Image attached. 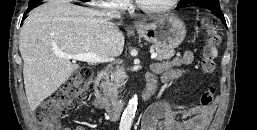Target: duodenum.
I'll list each match as a JSON object with an SVG mask.
<instances>
[{"instance_id":"410a0bca","label":"duodenum","mask_w":257,"mask_h":130,"mask_svg":"<svg viewBox=\"0 0 257 130\" xmlns=\"http://www.w3.org/2000/svg\"><path fill=\"white\" fill-rule=\"evenodd\" d=\"M155 90L156 85L154 81L151 80L141 94L142 100L144 102L149 100L155 93ZM95 96L99 105L106 111L111 119H117L121 115L124 103L118 100L113 93L105 71L99 72L96 78Z\"/></svg>"}]
</instances>
